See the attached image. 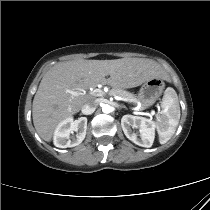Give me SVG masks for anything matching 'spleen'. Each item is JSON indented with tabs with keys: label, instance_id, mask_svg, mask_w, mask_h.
Returning a JSON list of instances; mask_svg holds the SVG:
<instances>
[{
	"label": "spleen",
	"instance_id": "1",
	"mask_svg": "<svg viewBox=\"0 0 210 210\" xmlns=\"http://www.w3.org/2000/svg\"><path fill=\"white\" fill-rule=\"evenodd\" d=\"M162 115L156 119L160 144H165L174 135L180 119L178 97L173 88H167L161 103Z\"/></svg>",
	"mask_w": 210,
	"mask_h": 210
}]
</instances>
